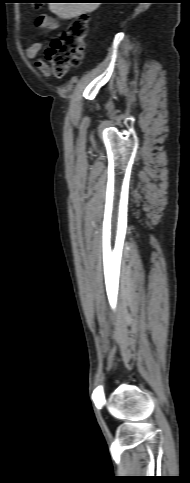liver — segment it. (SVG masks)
I'll list each match as a JSON object with an SVG mask.
<instances>
[{"mask_svg":"<svg viewBox=\"0 0 190 483\" xmlns=\"http://www.w3.org/2000/svg\"><path fill=\"white\" fill-rule=\"evenodd\" d=\"M50 10L61 19H71L96 10L100 3H49Z\"/></svg>","mask_w":190,"mask_h":483,"instance_id":"liver-1","label":"liver"}]
</instances>
